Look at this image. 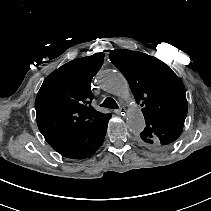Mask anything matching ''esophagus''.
<instances>
[{
	"mask_svg": "<svg viewBox=\"0 0 211 211\" xmlns=\"http://www.w3.org/2000/svg\"><path fill=\"white\" fill-rule=\"evenodd\" d=\"M124 108H118V109H116V110H114V112L117 114V115H121V114H123L124 113Z\"/></svg>",
	"mask_w": 211,
	"mask_h": 211,
	"instance_id": "esophagus-1",
	"label": "esophagus"
}]
</instances>
